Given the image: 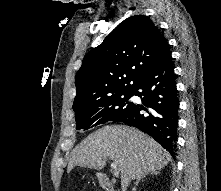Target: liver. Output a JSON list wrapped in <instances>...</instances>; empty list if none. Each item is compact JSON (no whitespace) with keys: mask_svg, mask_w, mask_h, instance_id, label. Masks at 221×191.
Listing matches in <instances>:
<instances>
[{"mask_svg":"<svg viewBox=\"0 0 221 191\" xmlns=\"http://www.w3.org/2000/svg\"><path fill=\"white\" fill-rule=\"evenodd\" d=\"M107 158L116 162L123 189L131 180L161 170L171 160L166 150L141 131L121 125L105 126L75 147L67 171L74 166L101 170Z\"/></svg>","mask_w":221,"mask_h":191,"instance_id":"liver-1","label":"liver"}]
</instances>
